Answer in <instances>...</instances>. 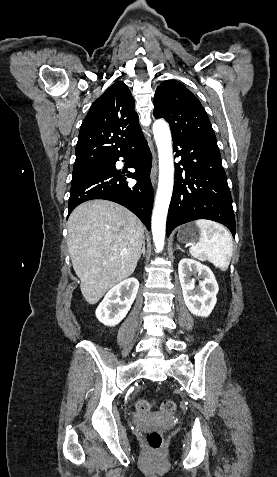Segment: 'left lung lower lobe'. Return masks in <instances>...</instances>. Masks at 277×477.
<instances>
[{
	"label": "left lung lower lobe",
	"mask_w": 277,
	"mask_h": 477,
	"mask_svg": "<svg viewBox=\"0 0 277 477\" xmlns=\"http://www.w3.org/2000/svg\"><path fill=\"white\" fill-rule=\"evenodd\" d=\"M173 147L181 161L175 165L167 236L181 224L209 219L224 224L235 238L232 197L216 138L173 136Z\"/></svg>",
	"instance_id": "obj_1"
}]
</instances>
